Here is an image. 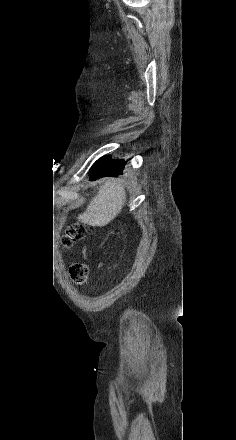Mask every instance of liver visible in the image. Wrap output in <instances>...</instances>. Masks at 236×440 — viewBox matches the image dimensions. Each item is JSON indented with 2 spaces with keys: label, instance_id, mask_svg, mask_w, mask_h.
I'll list each match as a JSON object with an SVG mask.
<instances>
[{
  "label": "liver",
  "instance_id": "obj_1",
  "mask_svg": "<svg viewBox=\"0 0 236 440\" xmlns=\"http://www.w3.org/2000/svg\"><path fill=\"white\" fill-rule=\"evenodd\" d=\"M125 202L126 193L120 181L107 180L78 220L90 226H105L121 212Z\"/></svg>",
  "mask_w": 236,
  "mask_h": 440
}]
</instances>
